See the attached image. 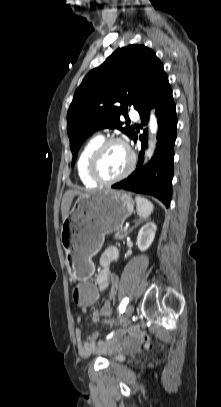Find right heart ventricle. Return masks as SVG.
Instances as JSON below:
<instances>
[{"label":"right heart ventricle","instance_id":"1","mask_svg":"<svg viewBox=\"0 0 221 407\" xmlns=\"http://www.w3.org/2000/svg\"><path fill=\"white\" fill-rule=\"evenodd\" d=\"M103 141L102 136H95L91 138L81 149L76 163V171L81 183L86 187H96L95 183L87 173V163L90 155L95 148Z\"/></svg>","mask_w":221,"mask_h":407}]
</instances>
